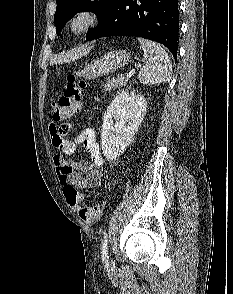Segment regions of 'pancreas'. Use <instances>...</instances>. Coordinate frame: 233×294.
<instances>
[{
  "label": "pancreas",
  "instance_id": "1",
  "mask_svg": "<svg viewBox=\"0 0 233 294\" xmlns=\"http://www.w3.org/2000/svg\"><path fill=\"white\" fill-rule=\"evenodd\" d=\"M126 85H127V82L122 78L107 79L106 83L104 84V90L111 91L113 89L121 88Z\"/></svg>",
  "mask_w": 233,
  "mask_h": 294
}]
</instances>
